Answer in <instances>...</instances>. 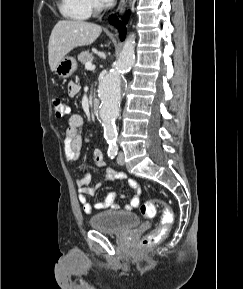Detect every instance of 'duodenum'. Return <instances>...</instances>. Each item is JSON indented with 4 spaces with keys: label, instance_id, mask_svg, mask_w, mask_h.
Instances as JSON below:
<instances>
[{
    "label": "duodenum",
    "instance_id": "410a0bca",
    "mask_svg": "<svg viewBox=\"0 0 243 289\" xmlns=\"http://www.w3.org/2000/svg\"><path fill=\"white\" fill-rule=\"evenodd\" d=\"M100 109V102L98 99H94L92 102V110L95 114L99 112Z\"/></svg>",
    "mask_w": 243,
    "mask_h": 289
}]
</instances>
